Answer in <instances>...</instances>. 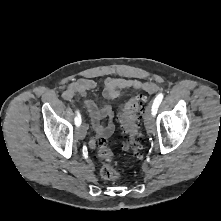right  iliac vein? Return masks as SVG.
Here are the masks:
<instances>
[{
	"instance_id": "obj_1",
	"label": "right iliac vein",
	"mask_w": 221,
	"mask_h": 221,
	"mask_svg": "<svg viewBox=\"0 0 221 221\" xmlns=\"http://www.w3.org/2000/svg\"><path fill=\"white\" fill-rule=\"evenodd\" d=\"M76 136L79 138V139H84L85 136H86V125L85 124H82L77 132H76Z\"/></svg>"
}]
</instances>
